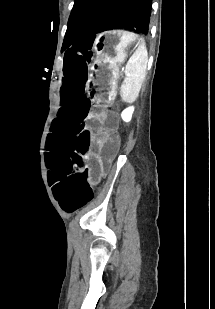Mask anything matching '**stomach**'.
Wrapping results in <instances>:
<instances>
[{
  "label": "stomach",
  "instance_id": "stomach-1",
  "mask_svg": "<svg viewBox=\"0 0 215 309\" xmlns=\"http://www.w3.org/2000/svg\"><path fill=\"white\" fill-rule=\"evenodd\" d=\"M142 43L137 34L121 29L109 30L96 37L95 58L87 81L88 88L94 91V100H108L115 94L120 64L131 48Z\"/></svg>",
  "mask_w": 215,
  "mask_h": 309
}]
</instances>
